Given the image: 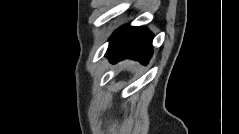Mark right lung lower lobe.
I'll return each mask as SVG.
<instances>
[{
    "label": "right lung lower lobe",
    "instance_id": "1",
    "mask_svg": "<svg viewBox=\"0 0 239 134\" xmlns=\"http://www.w3.org/2000/svg\"><path fill=\"white\" fill-rule=\"evenodd\" d=\"M152 39L147 28L124 25L114 32L106 55L112 61L131 58L147 63L152 56Z\"/></svg>",
    "mask_w": 239,
    "mask_h": 134
}]
</instances>
